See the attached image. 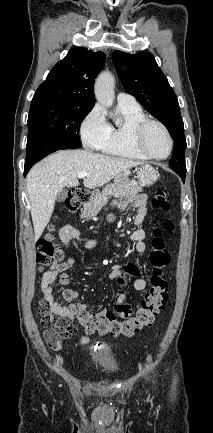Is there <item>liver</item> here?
Instances as JSON below:
<instances>
[{
    "mask_svg": "<svg viewBox=\"0 0 213 433\" xmlns=\"http://www.w3.org/2000/svg\"><path fill=\"white\" fill-rule=\"evenodd\" d=\"M140 164L89 150H62L34 165L27 175V193L35 240L40 238L50 221L58 193L64 187L79 185L78 173L87 172L83 184L94 189Z\"/></svg>",
    "mask_w": 213,
    "mask_h": 433,
    "instance_id": "6515ba94",
    "label": "liver"
}]
</instances>
